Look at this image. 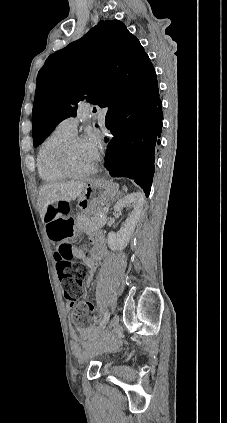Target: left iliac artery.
Instances as JSON below:
<instances>
[{"instance_id": "1", "label": "left iliac artery", "mask_w": 227, "mask_h": 423, "mask_svg": "<svg viewBox=\"0 0 227 423\" xmlns=\"http://www.w3.org/2000/svg\"><path fill=\"white\" fill-rule=\"evenodd\" d=\"M109 318H110V313L109 312H106L105 315H104V317H103V319H102V321L99 324V327H98L99 330H101L102 328L105 327V325L107 324Z\"/></svg>"}]
</instances>
